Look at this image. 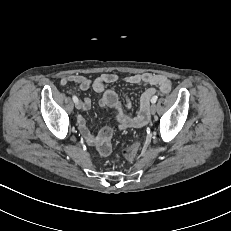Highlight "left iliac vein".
Returning <instances> with one entry per match:
<instances>
[{
	"instance_id": "4c4485c4",
	"label": "left iliac vein",
	"mask_w": 231,
	"mask_h": 231,
	"mask_svg": "<svg viewBox=\"0 0 231 231\" xmlns=\"http://www.w3.org/2000/svg\"><path fill=\"white\" fill-rule=\"evenodd\" d=\"M155 112H156V105L152 104L151 107H150V113L155 114Z\"/></svg>"
}]
</instances>
